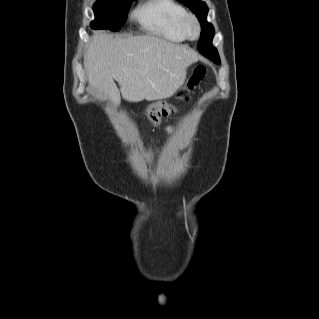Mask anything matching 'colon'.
Returning a JSON list of instances; mask_svg holds the SVG:
<instances>
[{"label": "colon", "instance_id": "5ec220e1", "mask_svg": "<svg viewBox=\"0 0 319 319\" xmlns=\"http://www.w3.org/2000/svg\"><path fill=\"white\" fill-rule=\"evenodd\" d=\"M205 75V67L202 64L197 65L186 83L179 89L178 97L182 99L188 98L190 92L203 79ZM176 113L174 104L154 103L146 108L145 114L153 124H158L162 118L171 116Z\"/></svg>", "mask_w": 319, "mask_h": 319}]
</instances>
